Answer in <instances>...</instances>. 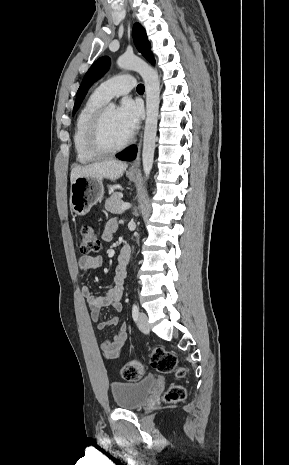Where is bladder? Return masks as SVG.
Returning <instances> with one entry per match:
<instances>
[{
  "label": "bladder",
  "mask_w": 289,
  "mask_h": 465,
  "mask_svg": "<svg viewBox=\"0 0 289 465\" xmlns=\"http://www.w3.org/2000/svg\"><path fill=\"white\" fill-rule=\"evenodd\" d=\"M156 385L157 379L154 376L136 382H114L111 384V393L118 408L138 409L147 403Z\"/></svg>",
  "instance_id": "bladder-1"
}]
</instances>
